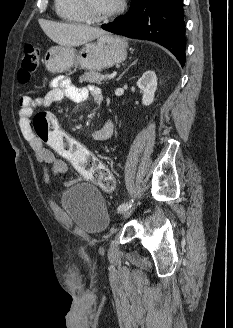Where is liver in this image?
<instances>
[{
    "instance_id": "1",
    "label": "liver",
    "mask_w": 233,
    "mask_h": 328,
    "mask_svg": "<svg viewBox=\"0 0 233 328\" xmlns=\"http://www.w3.org/2000/svg\"><path fill=\"white\" fill-rule=\"evenodd\" d=\"M39 23L44 33L60 46H80L105 34V31L88 25L57 23L44 20H41Z\"/></svg>"
}]
</instances>
